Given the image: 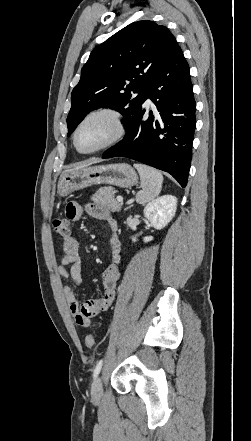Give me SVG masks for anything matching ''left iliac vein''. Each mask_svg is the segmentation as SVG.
<instances>
[{
    "label": "left iliac vein",
    "instance_id": "obj_1",
    "mask_svg": "<svg viewBox=\"0 0 251 441\" xmlns=\"http://www.w3.org/2000/svg\"><path fill=\"white\" fill-rule=\"evenodd\" d=\"M102 394V379L100 376H97L91 386V395L93 397H100Z\"/></svg>",
    "mask_w": 251,
    "mask_h": 441
}]
</instances>
